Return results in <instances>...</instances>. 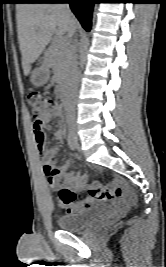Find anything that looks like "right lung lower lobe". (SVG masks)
Wrapping results in <instances>:
<instances>
[{
  "mask_svg": "<svg viewBox=\"0 0 166 267\" xmlns=\"http://www.w3.org/2000/svg\"><path fill=\"white\" fill-rule=\"evenodd\" d=\"M70 4L73 13L76 15L83 28L90 31L92 10L95 0H33L29 2L20 1L18 3H62Z\"/></svg>",
  "mask_w": 166,
  "mask_h": 267,
  "instance_id": "98d812e1",
  "label": "right lung lower lobe"
}]
</instances>
